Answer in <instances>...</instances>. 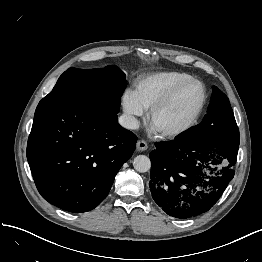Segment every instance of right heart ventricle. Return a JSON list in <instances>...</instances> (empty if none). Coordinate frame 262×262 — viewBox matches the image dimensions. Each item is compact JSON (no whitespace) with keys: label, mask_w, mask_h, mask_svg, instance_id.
I'll return each instance as SVG.
<instances>
[{"label":"right heart ventricle","mask_w":262,"mask_h":262,"mask_svg":"<svg viewBox=\"0 0 262 262\" xmlns=\"http://www.w3.org/2000/svg\"><path fill=\"white\" fill-rule=\"evenodd\" d=\"M192 78L185 72L169 71L149 75L135 84L134 96L144 110L151 108L171 88Z\"/></svg>","instance_id":"e07e8e85"}]
</instances>
